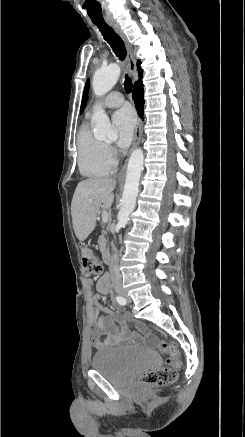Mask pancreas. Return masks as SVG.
Instances as JSON below:
<instances>
[{"label":"pancreas","mask_w":245,"mask_h":437,"mask_svg":"<svg viewBox=\"0 0 245 437\" xmlns=\"http://www.w3.org/2000/svg\"><path fill=\"white\" fill-rule=\"evenodd\" d=\"M107 235V231L103 230L102 235L98 239V245L101 251H104L107 244V238L105 237Z\"/></svg>","instance_id":"pancreas-1"}]
</instances>
